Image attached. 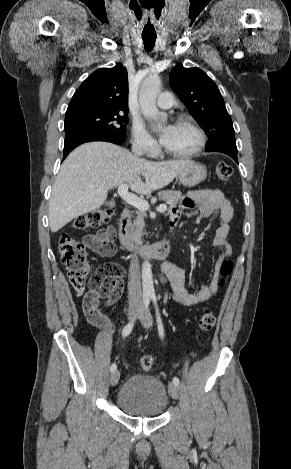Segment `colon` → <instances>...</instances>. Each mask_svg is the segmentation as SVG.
<instances>
[{"mask_svg":"<svg viewBox=\"0 0 291 469\" xmlns=\"http://www.w3.org/2000/svg\"><path fill=\"white\" fill-rule=\"evenodd\" d=\"M215 173L220 181H227L233 174L231 165L219 162L215 167ZM113 214L111 209H99L79 216L74 221V228L80 231H88L98 228L109 222ZM91 240L87 237L83 241L77 240L70 234H63L59 240V252L62 264L65 266L71 285L78 291H85L83 298L84 315L92 325L103 327L107 325V319L100 311L101 299L107 303L114 302L115 297L121 292L123 268L116 263H107L97 268L91 274V267L87 258L86 248ZM108 251L114 254L116 247L113 242ZM233 269V263L226 259L220 266V274L223 278L229 276ZM223 283V279L221 280ZM216 316L211 308H204L200 318L201 331L208 332L214 328ZM140 367L148 372L153 367V358L145 355L140 359Z\"/></svg>","mask_w":291,"mask_h":469,"instance_id":"1","label":"colon"}]
</instances>
